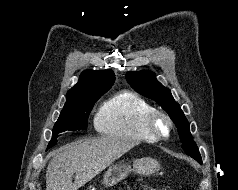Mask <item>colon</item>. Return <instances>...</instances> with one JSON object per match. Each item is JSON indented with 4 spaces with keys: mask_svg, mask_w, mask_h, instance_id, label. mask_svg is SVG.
Segmentation results:
<instances>
[{
    "mask_svg": "<svg viewBox=\"0 0 238 190\" xmlns=\"http://www.w3.org/2000/svg\"><path fill=\"white\" fill-rule=\"evenodd\" d=\"M144 190H157L155 188H147V189H144Z\"/></svg>",
    "mask_w": 238,
    "mask_h": 190,
    "instance_id": "obj_1",
    "label": "colon"
}]
</instances>
